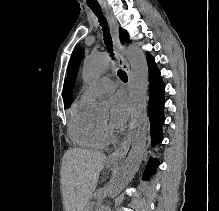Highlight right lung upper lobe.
I'll use <instances>...</instances> for the list:
<instances>
[{
	"label": "right lung upper lobe",
	"mask_w": 219,
	"mask_h": 211,
	"mask_svg": "<svg viewBox=\"0 0 219 211\" xmlns=\"http://www.w3.org/2000/svg\"><path fill=\"white\" fill-rule=\"evenodd\" d=\"M63 99H64V106H69L70 99L68 95V86H67L66 80H65L64 89H63Z\"/></svg>",
	"instance_id": "1"
}]
</instances>
